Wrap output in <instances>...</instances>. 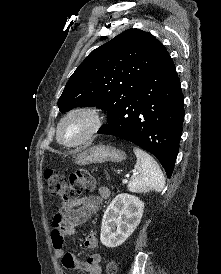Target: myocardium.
Returning <instances> with one entry per match:
<instances>
[{"instance_id": "myocardium-1", "label": "myocardium", "mask_w": 221, "mask_h": 274, "mask_svg": "<svg viewBox=\"0 0 221 274\" xmlns=\"http://www.w3.org/2000/svg\"><path fill=\"white\" fill-rule=\"evenodd\" d=\"M73 118H81L86 121V130L76 140L68 142L62 139L64 125ZM103 116L100 110L93 106H78L67 111L59 120L56 128L57 142L64 147H76L91 139L102 127Z\"/></svg>"}]
</instances>
